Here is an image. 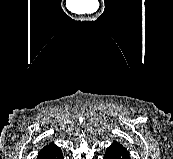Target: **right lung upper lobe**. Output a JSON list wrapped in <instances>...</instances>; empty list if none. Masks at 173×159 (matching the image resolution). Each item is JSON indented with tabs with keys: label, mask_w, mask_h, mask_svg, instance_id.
<instances>
[{
	"label": "right lung upper lobe",
	"mask_w": 173,
	"mask_h": 159,
	"mask_svg": "<svg viewBox=\"0 0 173 159\" xmlns=\"http://www.w3.org/2000/svg\"><path fill=\"white\" fill-rule=\"evenodd\" d=\"M60 148L57 147L55 144L53 143H50L49 145H46L38 154V158L37 159H40L41 156L45 155V154H48V153H51V152H54L56 150H59Z\"/></svg>",
	"instance_id": "cb5924a9"
}]
</instances>
